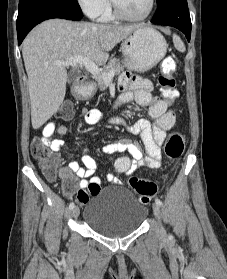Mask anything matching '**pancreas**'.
<instances>
[{
    "label": "pancreas",
    "instance_id": "cf45deb5",
    "mask_svg": "<svg viewBox=\"0 0 227 279\" xmlns=\"http://www.w3.org/2000/svg\"><path fill=\"white\" fill-rule=\"evenodd\" d=\"M112 70L114 71V75L120 74V72L124 70L122 64L120 63V61L118 59H111L109 61L108 65H106L100 71V74L97 76H94V79L97 82L100 89L105 88V86L107 85V82L104 81V79H103V75Z\"/></svg>",
    "mask_w": 227,
    "mask_h": 279
}]
</instances>
